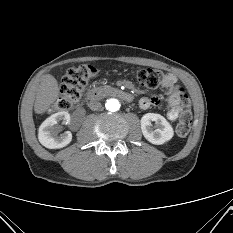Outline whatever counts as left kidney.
Here are the masks:
<instances>
[{
	"label": "left kidney",
	"mask_w": 233,
	"mask_h": 233,
	"mask_svg": "<svg viewBox=\"0 0 233 233\" xmlns=\"http://www.w3.org/2000/svg\"><path fill=\"white\" fill-rule=\"evenodd\" d=\"M141 130L144 137L155 145L164 144L174 135L170 123L162 115L156 113H146L142 116Z\"/></svg>",
	"instance_id": "5707ae66"
}]
</instances>
